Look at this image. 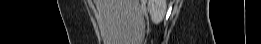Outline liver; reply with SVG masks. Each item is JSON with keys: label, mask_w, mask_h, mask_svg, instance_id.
<instances>
[{"label": "liver", "mask_w": 261, "mask_h": 44, "mask_svg": "<svg viewBox=\"0 0 261 44\" xmlns=\"http://www.w3.org/2000/svg\"><path fill=\"white\" fill-rule=\"evenodd\" d=\"M104 14L107 44H139L144 32V21L139 0H96Z\"/></svg>", "instance_id": "liver-1"}]
</instances>
